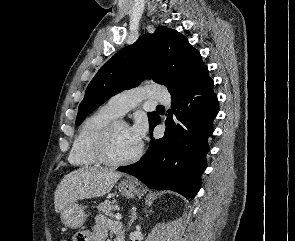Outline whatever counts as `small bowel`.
I'll list each match as a JSON object with an SVG mask.
<instances>
[{
	"label": "small bowel",
	"mask_w": 295,
	"mask_h": 241,
	"mask_svg": "<svg viewBox=\"0 0 295 241\" xmlns=\"http://www.w3.org/2000/svg\"><path fill=\"white\" fill-rule=\"evenodd\" d=\"M85 241H107L109 234L114 235L115 241H124L123 226L104 214H98L91 231L82 232Z\"/></svg>",
	"instance_id": "small-bowel-1"
}]
</instances>
